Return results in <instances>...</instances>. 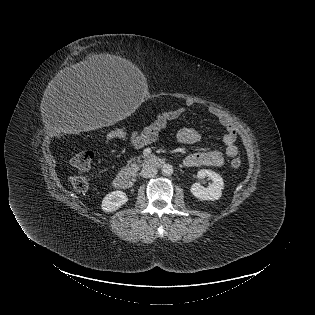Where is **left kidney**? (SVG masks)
Instances as JSON below:
<instances>
[{"label":"left kidney","instance_id":"1","mask_svg":"<svg viewBox=\"0 0 315 315\" xmlns=\"http://www.w3.org/2000/svg\"><path fill=\"white\" fill-rule=\"evenodd\" d=\"M198 178L208 177L213 182L208 187H203L200 183L192 184L190 191L199 200H218L222 196V190L224 189V181L222 177L208 169H202L198 171Z\"/></svg>","mask_w":315,"mask_h":315}]
</instances>
